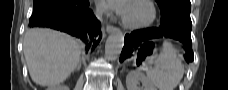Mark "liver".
<instances>
[{
    "instance_id": "liver-1",
    "label": "liver",
    "mask_w": 228,
    "mask_h": 90,
    "mask_svg": "<svg viewBox=\"0 0 228 90\" xmlns=\"http://www.w3.org/2000/svg\"><path fill=\"white\" fill-rule=\"evenodd\" d=\"M32 80L40 86H56L68 78L80 60V46L71 36L49 29H30L23 42Z\"/></svg>"
}]
</instances>
